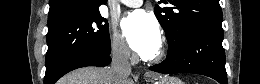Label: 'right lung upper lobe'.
<instances>
[{"mask_svg":"<svg viewBox=\"0 0 260 84\" xmlns=\"http://www.w3.org/2000/svg\"><path fill=\"white\" fill-rule=\"evenodd\" d=\"M107 0H50L48 28L99 11Z\"/></svg>","mask_w":260,"mask_h":84,"instance_id":"right-lung-upper-lobe-1","label":"right lung upper lobe"}]
</instances>
